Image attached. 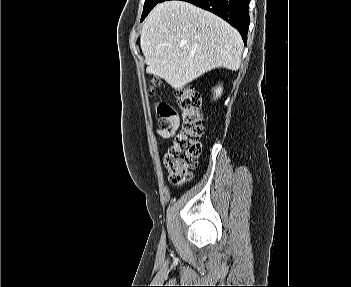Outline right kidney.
<instances>
[{
	"mask_svg": "<svg viewBox=\"0 0 351 287\" xmlns=\"http://www.w3.org/2000/svg\"><path fill=\"white\" fill-rule=\"evenodd\" d=\"M221 92H222V88L221 87L216 88V90H215L216 97L220 96Z\"/></svg>",
	"mask_w": 351,
	"mask_h": 287,
	"instance_id": "obj_1",
	"label": "right kidney"
}]
</instances>
